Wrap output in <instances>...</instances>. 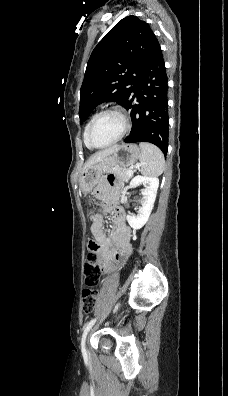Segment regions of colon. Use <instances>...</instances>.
<instances>
[{"instance_id": "obj_1", "label": "colon", "mask_w": 228, "mask_h": 396, "mask_svg": "<svg viewBox=\"0 0 228 396\" xmlns=\"http://www.w3.org/2000/svg\"><path fill=\"white\" fill-rule=\"evenodd\" d=\"M99 212L98 207H93L88 210V215L94 219ZM89 252L87 261L85 264V275H86V283L89 287L83 290L82 294V301H83V311L85 313H91L97 304L98 299V290L92 285H94L95 281L97 280L98 276L101 273V266L98 261L97 257V248L98 245L91 241L89 243Z\"/></svg>"}]
</instances>
